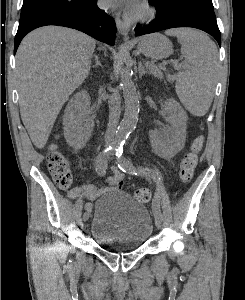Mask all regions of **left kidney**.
I'll list each match as a JSON object with an SVG mask.
<instances>
[{
  "label": "left kidney",
  "instance_id": "obj_1",
  "mask_svg": "<svg viewBox=\"0 0 245 300\" xmlns=\"http://www.w3.org/2000/svg\"><path fill=\"white\" fill-rule=\"evenodd\" d=\"M164 110L171 127L152 132V140L155 149L161 155L172 157L184 146L187 116L184 109L174 99L165 101Z\"/></svg>",
  "mask_w": 245,
  "mask_h": 300
}]
</instances>
